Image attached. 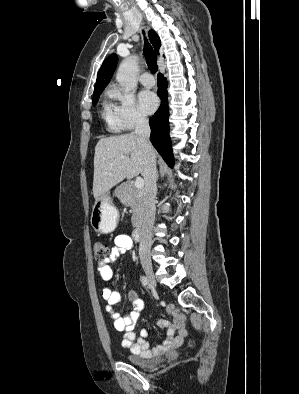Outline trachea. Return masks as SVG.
<instances>
[{
    "label": "trachea",
    "instance_id": "1",
    "mask_svg": "<svg viewBox=\"0 0 299 394\" xmlns=\"http://www.w3.org/2000/svg\"><path fill=\"white\" fill-rule=\"evenodd\" d=\"M144 39H145L144 54H145L146 62H147L148 68L151 70V72L155 73L158 70L157 57H156V54H155L153 48L147 42L146 38H144Z\"/></svg>",
    "mask_w": 299,
    "mask_h": 394
}]
</instances>
